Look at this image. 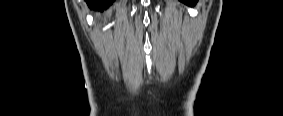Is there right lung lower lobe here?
<instances>
[{
  "instance_id": "right-lung-lower-lobe-1",
  "label": "right lung lower lobe",
  "mask_w": 283,
  "mask_h": 116,
  "mask_svg": "<svg viewBox=\"0 0 283 116\" xmlns=\"http://www.w3.org/2000/svg\"><path fill=\"white\" fill-rule=\"evenodd\" d=\"M114 0H87V3L92 8H98L100 10H103L104 8L109 7Z\"/></svg>"
}]
</instances>
